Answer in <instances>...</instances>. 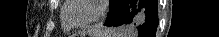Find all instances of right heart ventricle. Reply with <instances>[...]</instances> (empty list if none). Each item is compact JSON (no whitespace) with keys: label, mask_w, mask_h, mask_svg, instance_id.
I'll return each instance as SVG.
<instances>
[{"label":"right heart ventricle","mask_w":219,"mask_h":37,"mask_svg":"<svg viewBox=\"0 0 219 37\" xmlns=\"http://www.w3.org/2000/svg\"><path fill=\"white\" fill-rule=\"evenodd\" d=\"M65 6L66 5L64 4L63 8H65ZM63 29L64 31H69L72 29V27L68 26L67 23L63 20Z\"/></svg>","instance_id":"right-heart-ventricle-1"}]
</instances>
